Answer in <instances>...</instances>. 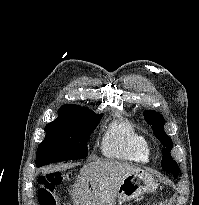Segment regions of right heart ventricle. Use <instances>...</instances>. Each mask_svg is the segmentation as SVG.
I'll list each match as a JSON object with an SVG mask.
<instances>
[{
	"mask_svg": "<svg viewBox=\"0 0 199 205\" xmlns=\"http://www.w3.org/2000/svg\"><path fill=\"white\" fill-rule=\"evenodd\" d=\"M104 156L135 163H145L150 157V147L145 136L125 120L112 123L101 139Z\"/></svg>",
	"mask_w": 199,
	"mask_h": 205,
	"instance_id": "e07e8e85",
	"label": "right heart ventricle"
}]
</instances>
